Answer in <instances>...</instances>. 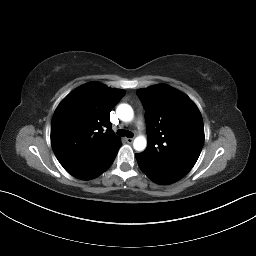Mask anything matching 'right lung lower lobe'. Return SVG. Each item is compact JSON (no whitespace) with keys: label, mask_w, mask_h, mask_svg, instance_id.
I'll return each mask as SVG.
<instances>
[{"label":"right lung lower lobe","mask_w":256,"mask_h":256,"mask_svg":"<svg viewBox=\"0 0 256 256\" xmlns=\"http://www.w3.org/2000/svg\"><path fill=\"white\" fill-rule=\"evenodd\" d=\"M120 147L108 151L91 161L66 169V171L78 179L90 180L96 178L111 166Z\"/></svg>","instance_id":"obj_1"}]
</instances>
